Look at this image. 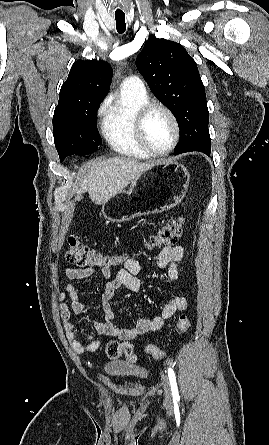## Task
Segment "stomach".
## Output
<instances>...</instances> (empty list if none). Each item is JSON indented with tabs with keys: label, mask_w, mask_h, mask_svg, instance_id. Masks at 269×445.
<instances>
[{
	"label": "stomach",
	"mask_w": 269,
	"mask_h": 445,
	"mask_svg": "<svg viewBox=\"0 0 269 445\" xmlns=\"http://www.w3.org/2000/svg\"><path fill=\"white\" fill-rule=\"evenodd\" d=\"M187 174L171 162H158L137 176L129 191L113 196L102 205V213L111 222L161 213L178 205L187 188Z\"/></svg>",
	"instance_id": "1"
}]
</instances>
